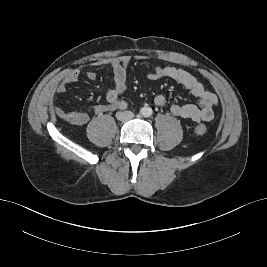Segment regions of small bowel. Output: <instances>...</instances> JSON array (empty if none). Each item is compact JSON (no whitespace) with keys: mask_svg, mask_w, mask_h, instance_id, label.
<instances>
[{"mask_svg":"<svg viewBox=\"0 0 267 267\" xmlns=\"http://www.w3.org/2000/svg\"><path fill=\"white\" fill-rule=\"evenodd\" d=\"M136 60H144L146 57L138 56ZM132 58L129 56H117L109 59H101L92 63L95 67H109L112 70L114 86L109 87L106 92V103L97 104L91 107L92 111L101 115L114 110L126 109L128 104L121 99V96L127 88L126 69ZM80 71L71 69L68 71L61 82L56 86L55 90L58 94H64L67 86L78 81ZM89 80L96 79L94 72L87 74ZM150 80H159L168 78L188 89L195 97L198 98V105L195 104H178L172 103L168 105L165 96L157 95L154 98V104L159 108L168 107L170 113L176 117L190 119L195 123L209 122L214 117V109L218 106L219 100L216 94L205 89L203 84L197 80L195 76L186 70L174 66H157L149 72ZM56 114L72 124L85 125L89 121V115L82 111L67 112L61 106L56 108Z\"/></svg>","mask_w":267,"mask_h":267,"instance_id":"1","label":"small bowel"}]
</instances>
